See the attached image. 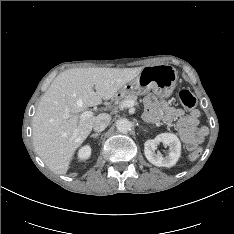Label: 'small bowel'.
<instances>
[{
  "mask_svg": "<svg viewBox=\"0 0 234 234\" xmlns=\"http://www.w3.org/2000/svg\"><path fill=\"white\" fill-rule=\"evenodd\" d=\"M144 117L148 122L175 124L181 140L189 148L200 144L208 134L206 126L199 125L200 112L197 109L185 113L182 109L170 106L167 102L148 95L145 100Z\"/></svg>",
  "mask_w": 234,
  "mask_h": 234,
  "instance_id": "c3829d8e",
  "label": "small bowel"
}]
</instances>
